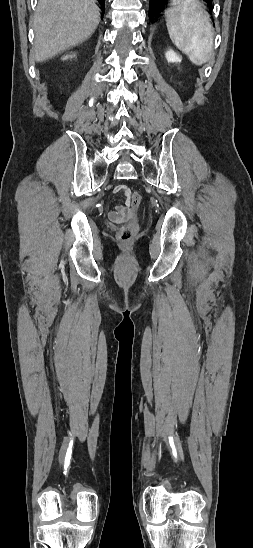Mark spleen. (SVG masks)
<instances>
[{
	"label": "spleen",
	"mask_w": 253,
	"mask_h": 548,
	"mask_svg": "<svg viewBox=\"0 0 253 548\" xmlns=\"http://www.w3.org/2000/svg\"><path fill=\"white\" fill-rule=\"evenodd\" d=\"M169 36L190 61L201 66L213 52V29L209 14L197 0H173L165 11Z\"/></svg>",
	"instance_id": "1"
}]
</instances>
